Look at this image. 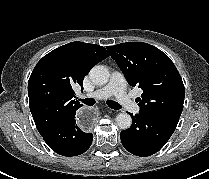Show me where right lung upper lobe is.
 <instances>
[{
    "label": "right lung upper lobe",
    "instance_id": "right-lung-upper-lobe-1",
    "mask_svg": "<svg viewBox=\"0 0 209 179\" xmlns=\"http://www.w3.org/2000/svg\"><path fill=\"white\" fill-rule=\"evenodd\" d=\"M108 56L102 46L71 42L51 51L37 63L29 78L28 96L30 111L41 135L82 106L72 100V87L83 88V79L91 68Z\"/></svg>",
    "mask_w": 209,
    "mask_h": 179
}]
</instances>
